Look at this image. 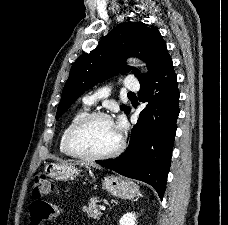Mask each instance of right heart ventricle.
<instances>
[{
  "instance_id": "e07e8e85",
  "label": "right heart ventricle",
  "mask_w": 228,
  "mask_h": 225,
  "mask_svg": "<svg viewBox=\"0 0 228 225\" xmlns=\"http://www.w3.org/2000/svg\"><path fill=\"white\" fill-rule=\"evenodd\" d=\"M89 112V108L86 105H83L80 109H78L73 116L71 117L70 121L68 122V124L65 126V128L63 129L61 136H60V141H59V149L60 152L69 158H75L76 156H74L68 149L67 146V137L69 134V131L71 129V127L74 125V123L81 118L82 116H84L85 114H87Z\"/></svg>"
}]
</instances>
